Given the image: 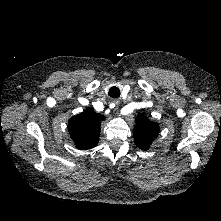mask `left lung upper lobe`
Returning a JSON list of instances; mask_svg holds the SVG:
<instances>
[{"mask_svg":"<svg viewBox=\"0 0 221 221\" xmlns=\"http://www.w3.org/2000/svg\"><path fill=\"white\" fill-rule=\"evenodd\" d=\"M159 133V126L157 123L150 121L144 115H138L136 118V126L133 134L135 144L142 150L149 149L150 145Z\"/></svg>","mask_w":221,"mask_h":221,"instance_id":"5c2ea615","label":"left lung upper lobe"}]
</instances>
